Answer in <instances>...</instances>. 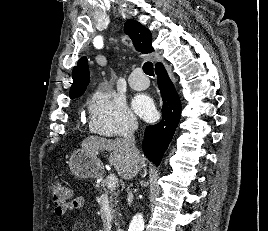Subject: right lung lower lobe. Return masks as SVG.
<instances>
[{"instance_id": "obj_1", "label": "right lung lower lobe", "mask_w": 268, "mask_h": 231, "mask_svg": "<svg viewBox=\"0 0 268 231\" xmlns=\"http://www.w3.org/2000/svg\"><path fill=\"white\" fill-rule=\"evenodd\" d=\"M155 72L163 100V115L159 123L146 127L142 146L148 159L159 165L179 123L181 102L164 66L158 65Z\"/></svg>"}]
</instances>
